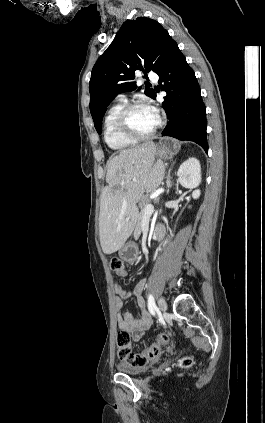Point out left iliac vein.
Returning <instances> with one entry per match:
<instances>
[{
	"label": "left iliac vein",
	"instance_id": "1",
	"mask_svg": "<svg viewBox=\"0 0 265 423\" xmlns=\"http://www.w3.org/2000/svg\"><path fill=\"white\" fill-rule=\"evenodd\" d=\"M158 307H159V310H160L162 313H164V312L167 310V303H166V301H165V299H164V298L160 297V298L158 299Z\"/></svg>",
	"mask_w": 265,
	"mask_h": 423
}]
</instances>
